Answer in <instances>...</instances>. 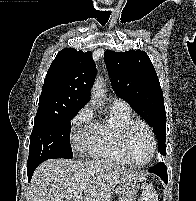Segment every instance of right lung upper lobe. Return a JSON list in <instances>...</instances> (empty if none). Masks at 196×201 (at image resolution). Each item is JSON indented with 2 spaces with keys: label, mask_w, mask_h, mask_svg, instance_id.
Returning a JSON list of instances; mask_svg holds the SVG:
<instances>
[{
  "label": "right lung upper lobe",
  "mask_w": 196,
  "mask_h": 201,
  "mask_svg": "<svg viewBox=\"0 0 196 201\" xmlns=\"http://www.w3.org/2000/svg\"><path fill=\"white\" fill-rule=\"evenodd\" d=\"M96 66L90 51L62 49L46 74L38 111L82 108L90 99Z\"/></svg>",
  "instance_id": "cb5924a9"
}]
</instances>
